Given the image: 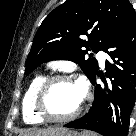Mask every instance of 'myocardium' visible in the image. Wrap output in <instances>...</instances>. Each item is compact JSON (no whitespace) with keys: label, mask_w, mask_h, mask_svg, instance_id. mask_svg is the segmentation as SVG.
I'll return each instance as SVG.
<instances>
[{"label":"myocardium","mask_w":136,"mask_h":136,"mask_svg":"<svg viewBox=\"0 0 136 136\" xmlns=\"http://www.w3.org/2000/svg\"><path fill=\"white\" fill-rule=\"evenodd\" d=\"M72 82L76 83V81L69 75L65 74H55L51 76L45 77V79L42 81L40 84L34 98L33 106L36 114L43 120L47 122H53V123H66L74 120L77 118L82 109H83V100L81 99V102L79 106L76 108L75 111H73L71 114L64 116V117H58L54 116L46 108V97L47 93L50 89V87L55 83V82Z\"/></svg>","instance_id":"obj_1"}]
</instances>
